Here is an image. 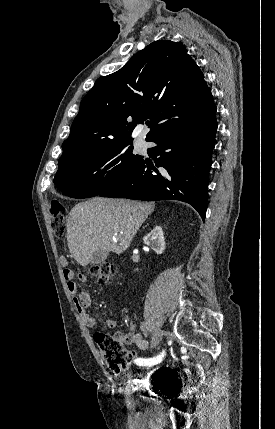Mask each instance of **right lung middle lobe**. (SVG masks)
I'll return each instance as SVG.
<instances>
[{
	"label": "right lung middle lobe",
	"instance_id": "obj_1",
	"mask_svg": "<svg viewBox=\"0 0 275 429\" xmlns=\"http://www.w3.org/2000/svg\"><path fill=\"white\" fill-rule=\"evenodd\" d=\"M132 140L94 150L60 166L54 183L72 198L99 195L126 174L142 159L133 153Z\"/></svg>",
	"mask_w": 275,
	"mask_h": 429
}]
</instances>
